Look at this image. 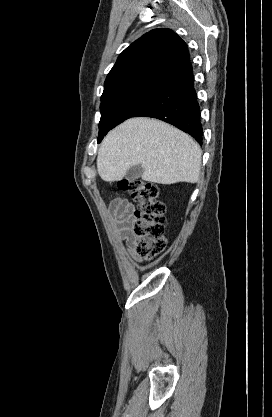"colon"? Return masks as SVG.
Returning <instances> with one entry per match:
<instances>
[{
    "instance_id": "obj_1",
    "label": "colon",
    "mask_w": 272,
    "mask_h": 417,
    "mask_svg": "<svg viewBox=\"0 0 272 417\" xmlns=\"http://www.w3.org/2000/svg\"><path fill=\"white\" fill-rule=\"evenodd\" d=\"M118 187L129 191L137 205L131 224L136 250L143 258L152 259L166 246V207L159 199V188L156 184L141 179L122 180Z\"/></svg>"
}]
</instances>
